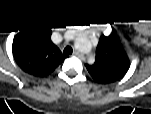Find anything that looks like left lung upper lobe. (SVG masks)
I'll list each match as a JSON object with an SVG mask.
<instances>
[{"instance_id":"obj_1","label":"left lung upper lobe","mask_w":151,"mask_h":114,"mask_svg":"<svg viewBox=\"0 0 151 114\" xmlns=\"http://www.w3.org/2000/svg\"><path fill=\"white\" fill-rule=\"evenodd\" d=\"M129 59L121 44L114 36H101L93 65H86L92 78L101 84L121 79L129 69Z\"/></svg>"}]
</instances>
